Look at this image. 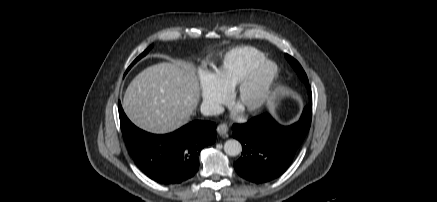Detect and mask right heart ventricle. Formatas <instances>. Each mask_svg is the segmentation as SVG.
Wrapping results in <instances>:
<instances>
[{
    "instance_id": "e07e8e85",
    "label": "right heart ventricle",
    "mask_w": 437,
    "mask_h": 202,
    "mask_svg": "<svg viewBox=\"0 0 437 202\" xmlns=\"http://www.w3.org/2000/svg\"><path fill=\"white\" fill-rule=\"evenodd\" d=\"M264 59V54L254 47H237L225 54L213 76L224 89L231 91L255 64Z\"/></svg>"
}]
</instances>
